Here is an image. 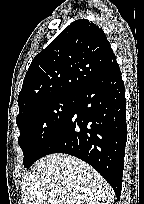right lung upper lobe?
I'll return each instance as SVG.
<instances>
[{
	"instance_id": "1",
	"label": "right lung upper lobe",
	"mask_w": 144,
	"mask_h": 204,
	"mask_svg": "<svg viewBox=\"0 0 144 204\" xmlns=\"http://www.w3.org/2000/svg\"><path fill=\"white\" fill-rule=\"evenodd\" d=\"M115 65L103 30L85 19L74 21L33 59L18 96L19 114L55 96H76Z\"/></svg>"
}]
</instances>
